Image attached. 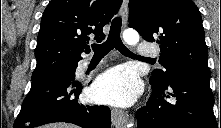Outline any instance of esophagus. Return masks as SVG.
Masks as SVG:
<instances>
[{
	"label": "esophagus",
	"mask_w": 221,
	"mask_h": 128,
	"mask_svg": "<svg viewBox=\"0 0 221 128\" xmlns=\"http://www.w3.org/2000/svg\"><path fill=\"white\" fill-rule=\"evenodd\" d=\"M120 12L123 25L125 26L128 18V0H123ZM111 119L113 125L117 128L132 127L134 125L133 116L125 113L121 109L113 108L111 111Z\"/></svg>",
	"instance_id": "1"
}]
</instances>
